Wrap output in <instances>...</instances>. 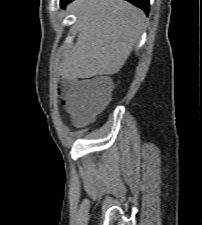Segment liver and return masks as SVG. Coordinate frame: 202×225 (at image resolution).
<instances>
[{
  "label": "liver",
  "instance_id": "1",
  "mask_svg": "<svg viewBox=\"0 0 202 225\" xmlns=\"http://www.w3.org/2000/svg\"><path fill=\"white\" fill-rule=\"evenodd\" d=\"M76 15L78 38L65 54L64 79L117 73L145 27V13L124 0H77L68 6Z\"/></svg>",
  "mask_w": 202,
  "mask_h": 225
}]
</instances>
